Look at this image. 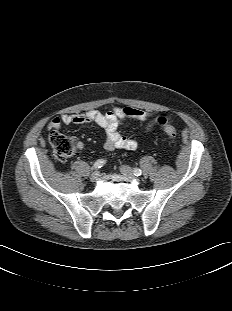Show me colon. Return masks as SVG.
<instances>
[{
  "label": "colon",
  "mask_w": 232,
  "mask_h": 311,
  "mask_svg": "<svg viewBox=\"0 0 232 311\" xmlns=\"http://www.w3.org/2000/svg\"><path fill=\"white\" fill-rule=\"evenodd\" d=\"M157 123L160 125L169 139L174 140L176 138L177 129L172 124H170L166 118H157ZM49 142L52 146L55 157L59 161H65L71 158L76 152L74 140L71 137L58 131L51 132L49 136Z\"/></svg>",
  "instance_id": "5ec220e1"
}]
</instances>
